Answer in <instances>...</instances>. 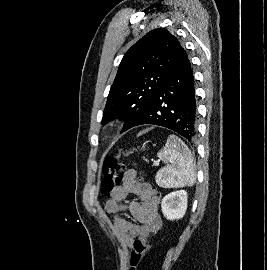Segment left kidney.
Listing matches in <instances>:
<instances>
[{
  "instance_id": "1",
  "label": "left kidney",
  "mask_w": 267,
  "mask_h": 270,
  "mask_svg": "<svg viewBox=\"0 0 267 270\" xmlns=\"http://www.w3.org/2000/svg\"><path fill=\"white\" fill-rule=\"evenodd\" d=\"M188 195L185 190L171 192L161 202L163 215L168 220L181 219L187 210Z\"/></svg>"
}]
</instances>
